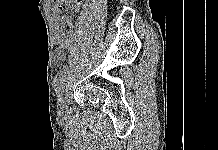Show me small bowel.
<instances>
[{
  "instance_id": "small-bowel-1",
  "label": "small bowel",
  "mask_w": 218,
  "mask_h": 150,
  "mask_svg": "<svg viewBox=\"0 0 218 150\" xmlns=\"http://www.w3.org/2000/svg\"><path fill=\"white\" fill-rule=\"evenodd\" d=\"M55 22V42L58 46L56 61L61 62L64 58L62 49L73 47L75 43V35L70 29V20L58 14L54 15Z\"/></svg>"
}]
</instances>
